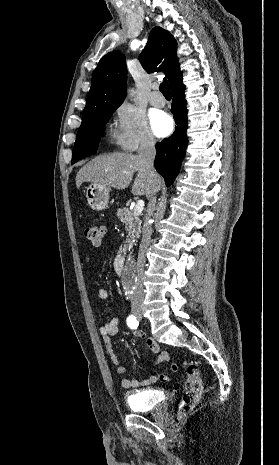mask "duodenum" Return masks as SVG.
I'll return each mask as SVG.
<instances>
[{"mask_svg": "<svg viewBox=\"0 0 279 465\" xmlns=\"http://www.w3.org/2000/svg\"><path fill=\"white\" fill-rule=\"evenodd\" d=\"M125 264V251L122 250L115 258V268L119 274L123 272Z\"/></svg>", "mask_w": 279, "mask_h": 465, "instance_id": "410a0bca", "label": "duodenum"}]
</instances>
